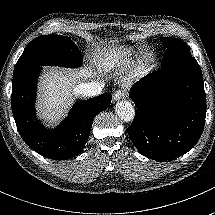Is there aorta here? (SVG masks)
<instances>
[{
	"label": "aorta",
	"mask_w": 215,
	"mask_h": 215,
	"mask_svg": "<svg viewBox=\"0 0 215 215\" xmlns=\"http://www.w3.org/2000/svg\"><path fill=\"white\" fill-rule=\"evenodd\" d=\"M115 112L125 122L132 121L135 116L134 106L129 101H118L115 105Z\"/></svg>",
	"instance_id": "762f6f07"
}]
</instances>
